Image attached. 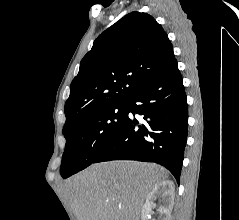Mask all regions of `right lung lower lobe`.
Here are the masks:
<instances>
[{
	"mask_svg": "<svg viewBox=\"0 0 239 220\" xmlns=\"http://www.w3.org/2000/svg\"><path fill=\"white\" fill-rule=\"evenodd\" d=\"M125 122L94 160H138L166 167L179 183L187 140L188 108L177 61L125 102ZM133 115L142 116L138 121Z\"/></svg>",
	"mask_w": 239,
	"mask_h": 220,
	"instance_id": "right-lung-lower-lobe-1",
	"label": "right lung lower lobe"
}]
</instances>
